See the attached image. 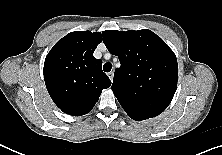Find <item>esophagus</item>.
Masks as SVG:
<instances>
[{
	"mask_svg": "<svg viewBox=\"0 0 222 155\" xmlns=\"http://www.w3.org/2000/svg\"><path fill=\"white\" fill-rule=\"evenodd\" d=\"M107 75H108L109 79L111 81H113L114 73L113 72H109Z\"/></svg>",
	"mask_w": 222,
	"mask_h": 155,
	"instance_id": "34e87169",
	"label": "esophagus"
}]
</instances>
